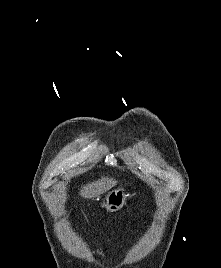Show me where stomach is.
<instances>
[{"mask_svg": "<svg viewBox=\"0 0 221 268\" xmlns=\"http://www.w3.org/2000/svg\"><path fill=\"white\" fill-rule=\"evenodd\" d=\"M128 196L129 194L125 188L114 189L103 197L101 205L108 211H117L126 205Z\"/></svg>", "mask_w": 221, "mask_h": 268, "instance_id": "obj_1", "label": "stomach"}]
</instances>
